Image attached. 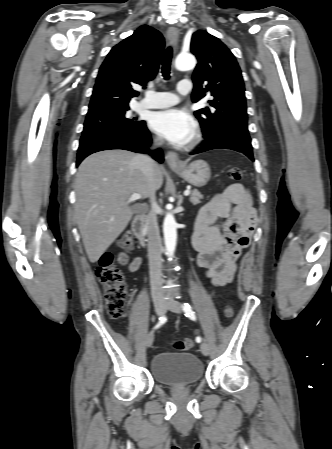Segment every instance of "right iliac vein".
Returning <instances> with one entry per match:
<instances>
[{
    "mask_svg": "<svg viewBox=\"0 0 332 449\" xmlns=\"http://www.w3.org/2000/svg\"><path fill=\"white\" fill-rule=\"evenodd\" d=\"M154 307L157 315L161 316L166 308L165 302L162 298L158 297L154 300ZM154 341V333L150 332L147 334L145 339V344L147 347H150Z\"/></svg>",
    "mask_w": 332,
    "mask_h": 449,
    "instance_id": "1",
    "label": "right iliac vein"
}]
</instances>
